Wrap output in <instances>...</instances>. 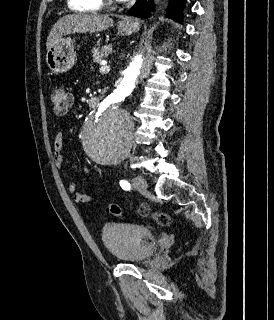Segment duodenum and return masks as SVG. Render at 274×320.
I'll return each instance as SVG.
<instances>
[{
    "instance_id": "obj_1",
    "label": "duodenum",
    "mask_w": 274,
    "mask_h": 320,
    "mask_svg": "<svg viewBox=\"0 0 274 320\" xmlns=\"http://www.w3.org/2000/svg\"><path fill=\"white\" fill-rule=\"evenodd\" d=\"M89 105L91 107H97L100 103V98L98 96H92L89 98V101H88Z\"/></svg>"
}]
</instances>
